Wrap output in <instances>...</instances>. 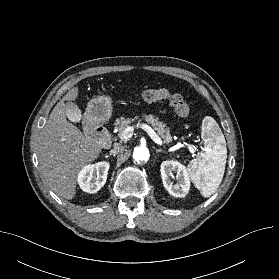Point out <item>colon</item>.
<instances>
[{
	"mask_svg": "<svg viewBox=\"0 0 279 279\" xmlns=\"http://www.w3.org/2000/svg\"><path fill=\"white\" fill-rule=\"evenodd\" d=\"M140 97L143 101L149 103L168 101L176 113L183 119H187L190 115V109L185 99L180 94L172 93L165 88L144 90Z\"/></svg>",
	"mask_w": 279,
	"mask_h": 279,
	"instance_id": "obj_1",
	"label": "colon"
}]
</instances>
